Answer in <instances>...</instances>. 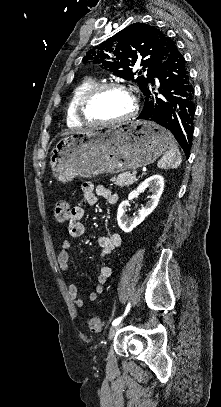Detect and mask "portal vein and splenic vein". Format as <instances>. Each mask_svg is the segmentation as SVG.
Listing matches in <instances>:
<instances>
[{"label": "portal vein and splenic vein", "instance_id": "obj_1", "mask_svg": "<svg viewBox=\"0 0 221 407\" xmlns=\"http://www.w3.org/2000/svg\"><path fill=\"white\" fill-rule=\"evenodd\" d=\"M132 174H133V175H136V174H137V171H134Z\"/></svg>", "mask_w": 221, "mask_h": 407}]
</instances>
